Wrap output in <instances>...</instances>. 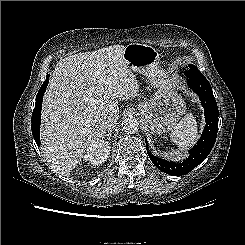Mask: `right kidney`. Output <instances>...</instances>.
Listing matches in <instances>:
<instances>
[{
    "label": "right kidney",
    "mask_w": 245,
    "mask_h": 245,
    "mask_svg": "<svg viewBox=\"0 0 245 245\" xmlns=\"http://www.w3.org/2000/svg\"><path fill=\"white\" fill-rule=\"evenodd\" d=\"M110 143L104 140L93 142L84 155V160L92 165H100L104 163L110 154Z\"/></svg>",
    "instance_id": "obj_1"
}]
</instances>
